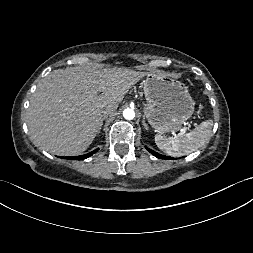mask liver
<instances>
[{
	"label": "liver",
	"mask_w": 253,
	"mask_h": 253,
	"mask_svg": "<svg viewBox=\"0 0 253 253\" xmlns=\"http://www.w3.org/2000/svg\"><path fill=\"white\" fill-rule=\"evenodd\" d=\"M145 75L122 68L52 71L30 101L27 124L33 141L55 155L81 154L98 132L103 109L118 107Z\"/></svg>",
	"instance_id": "obj_1"
}]
</instances>
